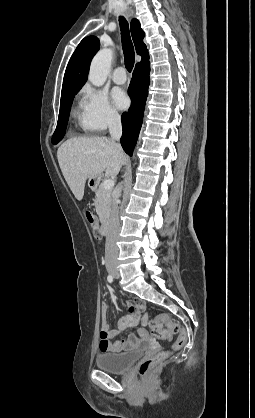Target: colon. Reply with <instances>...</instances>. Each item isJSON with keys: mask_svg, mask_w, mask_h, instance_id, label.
<instances>
[{"mask_svg": "<svg viewBox=\"0 0 255 418\" xmlns=\"http://www.w3.org/2000/svg\"><path fill=\"white\" fill-rule=\"evenodd\" d=\"M85 218L94 233L98 235V226L94 214L91 211H86ZM149 326L153 335L160 339H170L173 334L177 335V339L170 350L161 351L139 363L138 373L142 376L148 374L157 364L168 358L172 351L181 349L187 341L186 331L168 314L156 316L149 322Z\"/></svg>", "mask_w": 255, "mask_h": 418, "instance_id": "colon-1", "label": "colon"}]
</instances>
